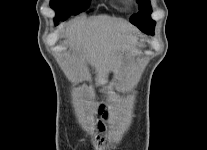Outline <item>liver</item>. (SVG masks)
<instances>
[{"label":"liver","mask_w":207,"mask_h":150,"mask_svg":"<svg viewBox=\"0 0 207 150\" xmlns=\"http://www.w3.org/2000/svg\"><path fill=\"white\" fill-rule=\"evenodd\" d=\"M135 28L122 19L106 15L72 23L66 30L70 46L82 51L96 71L98 84L106 82L119 52L131 51L137 37Z\"/></svg>","instance_id":"1"}]
</instances>
